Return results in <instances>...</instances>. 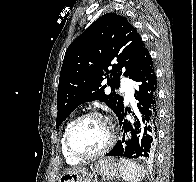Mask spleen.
Instances as JSON below:
<instances>
[{
    "label": "spleen",
    "mask_w": 196,
    "mask_h": 182,
    "mask_svg": "<svg viewBox=\"0 0 196 182\" xmlns=\"http://www.w3.org/2000/svg\"><path fill=\"white\" fill-rule=\"evenodd\" d=\"M119 170L125 182H138L144 177L143 169L136 163L125 158L119 159Z\"/></svg>",
    "instance_id": "3e777b00"
}]
</instances>
